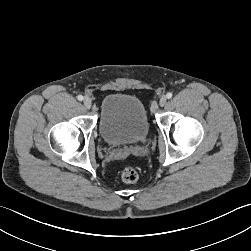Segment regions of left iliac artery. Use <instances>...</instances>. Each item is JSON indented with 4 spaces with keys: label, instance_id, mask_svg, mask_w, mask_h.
Wrapping results in <instances>:
<instances>
[{
    "label": "left iliac artery",
    "instance_id": "1",
    "mask_svg": "<svg viewBox=\"0 0 251 251\" xmlns=\"http://www.w3.org/2000/svg\"><path fill=\"white\" fill-rule=\"evenodd\" d=\"M172 96H173V94H172L171 92H168L167 95H166V97H167L168 99L172 98Z\"/></svg>",
    "mask_w": 251,
    "mask_h": 251
}]
</instances>
